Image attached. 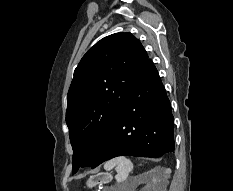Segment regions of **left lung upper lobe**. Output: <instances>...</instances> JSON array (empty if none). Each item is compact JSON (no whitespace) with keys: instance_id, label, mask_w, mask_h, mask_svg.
<instances>
[{"instance_id":"1","label":"left lung upper lobe","mask_w":233,"mask_h":191,"mask_svg":"<svg viewBox=\"0 0 233 191\" xmlns=\"http://www.w3.org/2000/svg\"><path fill=\"white\" fill-rule=\"evenodd\" d=\"M147 60L145 49L131 33L101 39L81 59L67 94L73 174L96 159Z\"/></svg>"}]
</instances>
